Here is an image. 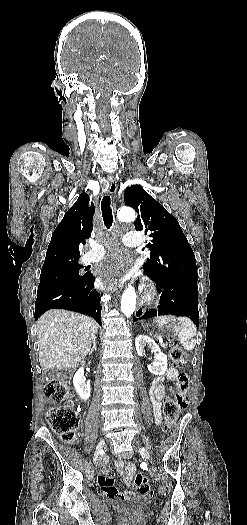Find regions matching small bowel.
<instances>
[{
  "label": "small bowel",
  "instance_id": "1",
  "mask_svg": "<svg viewBox=\"0 0 247 525\" xmlns=\"http://www.w3.org/2000/svg\"><path fill=\"white\" fill-rule=\"evenodd\" d=\"M179 375L180 372L176 368L172 367L167 369L165 372V377L168 380L172 381L177 380ZM164 394L165 387L162 384V380L157 379L151 391V400L153 404L154 413L158 420L161 417V404ZM115 466L117 469L113 468L111 469V472H108L106 474L99 473L97 475L94 490L95 492L100 493L101 496L104 498H112V502L114 504H123L125 502V499L132 498L134 496V493L131 490H126L122 493H118V487L116 485V482L114 481V475L118 474L119 471L124 483L127 486H130L132 476L136 472V467L132 462L121 459L116 460Z\"/></svg>",
  "mask_w": 247,
  "mask_h": 525
}]
</instances>
